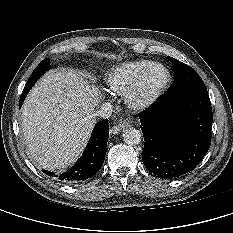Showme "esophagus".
Returning <instances> with one entry per match:
<instances>
[{"instance_id": "obj_1", "label": "esophagus", "mask_w": 233, "mask_h": 233, "mask_svg": "<svg viewBox=\"0 0 233 233\" xmlns=\"http://www.w3.org/2000/svg\"><path fill=\"white\" fill-rule=\"evenodd\" d=\"M130 126L129 123L126 120H122L119 123H117L112 129L111 133L117 134L120 130Z\"/></svg>"}]
</instances>
